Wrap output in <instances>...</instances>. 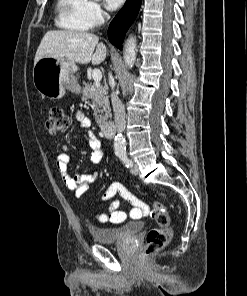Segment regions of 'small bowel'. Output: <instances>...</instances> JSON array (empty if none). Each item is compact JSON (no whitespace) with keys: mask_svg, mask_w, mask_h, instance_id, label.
<instances>
[{"mask_svg":"<svg viewBox=\"0 0 247 296\" xmlns=\"http://www.w3.org/2000/svg\"><path fill=\"white\" fill-rule=\"evenodd\" d=\"M76 120L82 128L89 130L88 146L91 149L89 161L93 167H97L103 158V152L100 148V144L96 136L91 130V121L82 112H78L76 114ZM69 160V149L67 146H63L56 155V168L60 173L65 186L69 190L73 191L75 193V196L79 198L88 190L89 185L96 180V178L98 177V171H94L91 174H76L75 176H70L67 173V165ZM116 195H119L122 199L135 206L130 211L131 217L134 218L133 213L135 211H141V205L134 204V200L138 198L130 193L120 182H112L102 196V201H110V203L108 204L107 212L97 213L95 216L97 222L101 224H120L125 221L126 213L120 210V202L117 200L112 201V199ZM141 204H143L142 201Z\"/></svg>","mask_w":247,"mask_h":296,"instance_id":"1","label":"small bowel"}]
</instances>
